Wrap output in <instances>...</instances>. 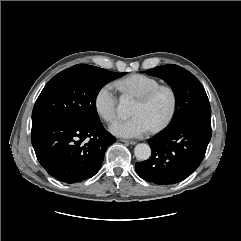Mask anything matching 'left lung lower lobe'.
<instances>
[{
  "label": "left lung lower lobe",
  "mask_w": 241,
  "mask_h": 241,
  "mask_svg": "<svg viewBox=\"0 0 241 241\" xmlns=\"http://www.w3.org/2000/svg\"><path fill=\"white\" fill-rule=\"evenodd\" d=\"M211 139V114H202L148 140L151 157L137 162V174L159 185L178 183L200 165Z\"/></svg>",
  "instance_id": "1"
}]
</instances>
